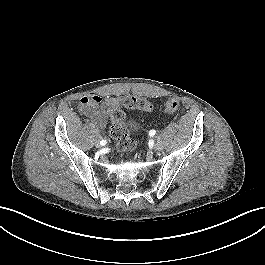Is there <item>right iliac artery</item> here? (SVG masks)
<instances>
[{"instance_id": "obj_1", "label": "right iliac artery", "mask_w": 265, "mask_h": 265, "mask_svg": "<svg viewBox=\"0 0 265 265\" xmlns=\"http://www.w3.org/2000/svg\"><path fill=\"white\" fill-rule=\"evenodd\" d=\"M106 143H107L106 140H102V141H100V144H101L102 146L106 145Z\"/></svg>"}]
</instances>
